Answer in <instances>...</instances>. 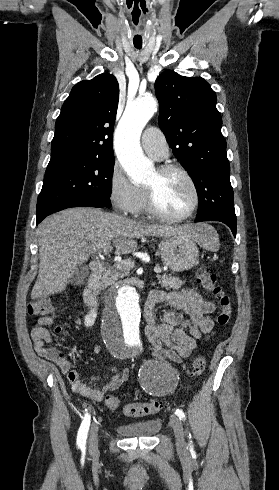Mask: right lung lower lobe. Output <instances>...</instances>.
Returning a JSON list of instances; mask_svg holds the SVG:
<instances>
[{
	"mask_svg": "<svg viewBox=\"0 0 279 490\" xmlns=\"http://www.w3.org/2000/svg\"><path fill=\"white\" fill-rule=\"evenodd\" d=\"M80 206H89V207H98V208L104 207V205H102L98 202H95L93 200L86 199V198L66 200V201H62V202H59V203L52 205L49 208V210L47 212H45L44 214L37 215L36 224H39L45 217H47L48 215H50L54 212H57V211H60V210L66 209V208H70V207H80Z\"/></svg>",
	"mask_w": 279,
	"mask_h": 490,
	"instance_id": "1",
	"label": "right lung lower lobe"
}]
</instances>
